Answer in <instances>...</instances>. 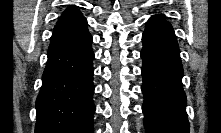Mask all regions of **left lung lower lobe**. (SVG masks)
Here are the masks:
<instances>
[{"label":"left lung lower lobe","instance_id":"1","mask_svg":"<svg viewBox=\"0 0 221 133\" xmlns=\"http://www.w3.org/2000/svg\"><path fill=\"white\" fill-rule=\"evenodd\" d=\"M142 92L147 133H189L183 67L172 26L151 17L142 37Z\"/></svg>","mask_w":221,"mask_h":133}]
</instances>
